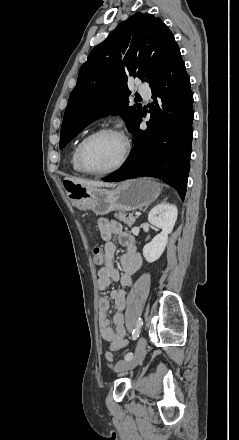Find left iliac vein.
Listing matches in <instances>:
<instances>
[{
  "instance_id": "obj_1",
  "label": "left iliac vein",
  "mask_w": 239,
  "mask_h": 440,
  "mask_svg": "<svg viewBox=\"0 0 239 440\" xmlns=\"http://www.w3.org/2000/svg\"><path fill=\"white\" fill-rule=\"evenodd\" d=\"M146 341L144 337H140L133 357L130 360L119 361L115 367V372H122L135 368L143 359L145 353Z\"/></svg>"
}]
</instances>
